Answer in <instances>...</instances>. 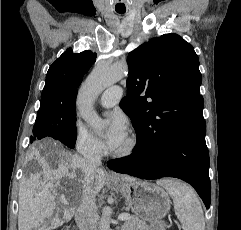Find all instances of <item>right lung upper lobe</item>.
I'll return each mask as SVG.
<instances>
[{
    "label": "right lung upper lobe",
    "mask_w": 241,
    "mask_h": 230,
    "mask_svg": "<svg viewBox=\"0 0 241 230\" xmlns=\"http://www.w3.org/2000/svg\"><path fill=\"white\" fill-rule=\"evenodd\" d=\"M96 56L97 54L91 51L73 53L72 48H68L54 61L46 75L38 111L76 110L77 88L84 74L96 61Z\"/></svg>",
    "instance_id": "obj_1"
}]
</instances>
